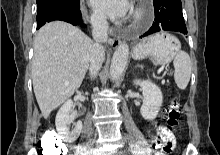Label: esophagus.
<instances>
[{
  "label": "esophagus",
  "mask_w": 220,
  "mask_h": 155,
  "mask_svg": "<svg viewBox=\"0 0 220 155\" xmlns=\"http://www.w3.org/2000/svg\"><path fill=\"white\" fill-rule=\"evenodd\" d=\"M120 43H121V41L117 37H113V38L110 39V45L114 49L117 48L120 45Z\"/></svg>",
  "instance_id": "obj_1"
}]
</instances>
